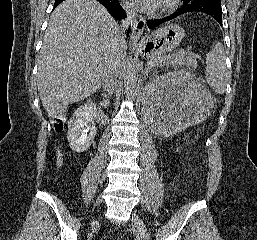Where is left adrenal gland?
<instances>
[{
	"instance_id": "1",
	"label": "left adrenal gland",
	"mask_w": 257,
	"mask_h": 240,
	"mask_svg": "<svg viewBox=\"0 0 257 240\" xmlns=\"http://www.w3.org/2000/svg\"><path fill=\"white\" fill-rule=\"evenodd\" d=\"M148 73H149V71H148V70H144V71H143L144 79H146V77H147Z\"/></svg>"
}]
</instances>
